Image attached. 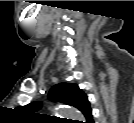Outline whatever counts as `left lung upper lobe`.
<instances>
[{
  "label": "left lung upper lobe",
  "mask_w": 134,
  "mask_h": 123,
  "mask_svg": "<svg viewBox=\"0 0 134 123\" xmlns=\"http://www.w3.org/2000/svg\"><path fill=\"white\" fill-rule=\"evenodd\" d=\"M49 98L52 101H61L64 104L73 106L80 110L87 122L92 120L90 103L86 94L78 87L77 84L60 83L53 86L49 92ZM39 102H33L24 107L27 112L34 113L40 109Z\"/></svg>",
  "instance_id": "left-lung-upper-lobe-1"
}]
</instances>
